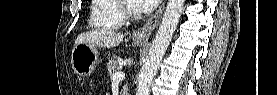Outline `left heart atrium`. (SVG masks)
I'll return each mask as SVG.
<instances>
[{
    "instance_id": "left-heart-atrium-1",
    "label": "left heart atrium",
    "mask_w": 277,
    "mask_h": 95,
    "mask_svg": "<svg viewBox=\"0 0 277 95\" xmlns=\"http://www.w3.org/2000/svg\"><path fill=\"white\" fill-rule=\"evenodd\" d=\"M159 2L160 0H136L138 8L142 11L153 10L159 4Z\"/></svg>"
}]
</instances>
